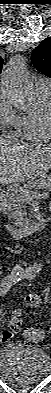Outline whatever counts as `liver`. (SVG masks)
I'll return each mask as SVG.
<instances>
[{
    "label": "liver",
    "instance_id": "obj_1",
    "mask_svg": "<svg viewBox=\"0 0 51 393\" xmlns=\"http://www.w3.org/2000/svg\"><path fill=\"white\" fill-rule=\"evenodd\" d=\"M51 168L50 145H27L0 138V183L32 181Z\"/></svg>",
    "mask_w": 51,
    "mask_h": 393
}]
</instances>
